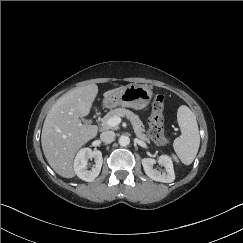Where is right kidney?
<instances>
[{
  "label": "right kidney",
  "mask_w": 243,
  "mask_h": 243,
  "mask_svg": "<svg viewBox=\"0 0 243 243\" xmlns=\"http://www.w3.org/2000/svg\"><path fill=\"white\" fill-rule=\"evenodd\" d=\"M89 159H94L95 161L92 170H87ZM102 164L103 158L101 151L83 148L78 152L75 158L74 171L80 179L91 182L100 174Z\"/></svg>",
  "instance_id": "ca27d5eb"
}]
</instances>
